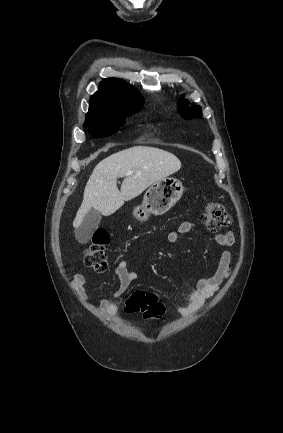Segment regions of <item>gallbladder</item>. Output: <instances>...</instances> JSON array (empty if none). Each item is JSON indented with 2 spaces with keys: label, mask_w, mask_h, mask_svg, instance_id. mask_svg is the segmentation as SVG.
<instances>
[{
  "label": "gallbladder",
  "mask_w": 283,
  "mask_h": 433,
  "mask_svg": "<svg viewBox=\"0 0 283 433\" xmlns=\"http://www.w3.org/2000/svg\"><path fill=\"white\" fill-rule=\"evenodd\" d=\"M100 221V210H96V208H91V210H88L80 227H78V229H75V237L77 241H79V243H82V245L88 243L93 233H95L96 229H98Z\"/></svg>",
  "instance_id": "1"
}]
</instances>
